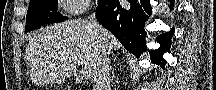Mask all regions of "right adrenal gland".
Here are the masks:
<instances>
[{
  "mask_svg": "<svg viewBox=\"0 0 216 90\" xmlns=\"http://www.w3.org/2000/svg\"><path fill=\"white\" fill-rule=\"evenodd\" d=\"M112 74H114V70H112ZM113 78H114V76H113Z\"/></svg>",
  "mask_w": 216,
  "mask_h": 90,
  "instance_id": "2a0ac1e0",
  "label": "right adrenal gland"
}]
</instances>
